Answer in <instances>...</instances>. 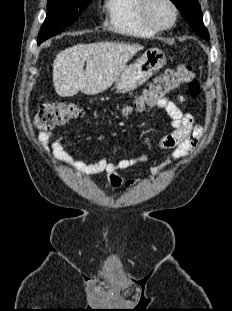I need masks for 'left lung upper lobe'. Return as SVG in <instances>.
<instances>
[{
  "label": "left lung upper lobe",
  "mask_w": 232,
  "mask_h": 311,
  "mask_svg": "<svg viewBox=\"0 0 232 311\" xmlns=\"http://www.w3.org/2000/svg\"><path fill=\"white\" fill-rule=\"evenodd\" d=\"M180 10L184 19H186L195 33L204 38L209 39L207 29L203 24L202 12L198 0H171Z\"/></svg>",
  "instance_id": "left-lung-upper-lobe-1"
}]
</instances>
